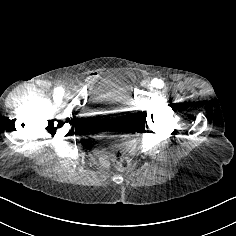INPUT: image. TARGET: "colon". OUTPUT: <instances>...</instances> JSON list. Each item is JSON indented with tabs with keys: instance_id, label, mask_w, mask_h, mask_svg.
<instances>
[{
	"instance_id": "5ec220e1",
	"label": "colon",
	"mask_w": 236,
	"mask_h": 236,
	"mask_svg": "<svg viewBox=\"0 0 236 236\" xmlns=\"http://www.w3.org/2000/svg\"><path fill=\"white\" fill-rule=\"evenodd\" d=\"M110 157L118 171H126L131 165L127 150L120 144L110 146Z\"/></svg>"
}]
</instances>
